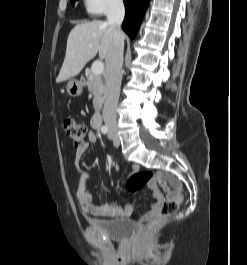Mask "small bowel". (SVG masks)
Here are the masks:
<instances>
[{
    "mask_svg": "<svg viewBox=\"0 0 247 265\" xmlns=\"http://www.w3.org/2000/svg\"><path fill=\"white\" fill-rule=\"evenodd\" d=\"M88 141L94 143L97 141V137L95 133H88ZM87 149V145L85 144L82 147L76 149V160L75 165L80 172V181L79 186L76 191V199L80 208L84 214L98 216V217H107V218H118V217H130L133 213V206L127 204L125 206H119L117 202H112L109 204L95 205L92 203V195L87 192L86 187L90 175L88 172L82 170L80 168V159L83 156ZM139 169L138 166L134 165L132 167L133 172H137ZM175 188V186H173ZM176 192L174 190L166 191V198L171 199L174 198ZM153 203L150 208L146 212V214L141 217V220H148L154 217L157 214V211L161 205V203L165 199L164 193L160 189H156L152 191Z\"/></svg>",
    "mask_w": 247,
    "mask_h": 265,
    "instance_id": "1",
    "label": "small bowel"
}]
</instances>
